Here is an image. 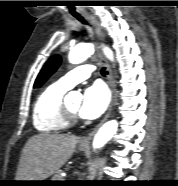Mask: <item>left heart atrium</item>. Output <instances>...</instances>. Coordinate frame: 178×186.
Here are the masks:
<instances>
[{"mask_svg":"<svg viewBox=\"0 0 178 186\" xmlns=\"http://www.w3.org/2000/svg\"><path fill=\"white\" fill-rule=\"evenodd\" d=\"M108 103L107 89L102 83L96 82L84 91L79 115L85 119H96L104 113Z\"/></svg>","mask_w":178,"mask_h":186,"instance_id":"obj_1","label":"left heart atrium"}]
</instances>
